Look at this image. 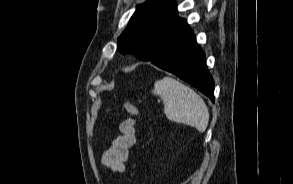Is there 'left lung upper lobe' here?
<instances>
[{"label":"left lung upper lobe","instance_id":"1","mask_svg":"<svg viewBox=\"0 0 293 184\" xmlns=\"http://www.w3.org/2000/svg\"><path fill=\"white\" fill-rule=\"evenodd\" d=\"M177 13L171 0H147L137 6L129 24L118 37V47L122 54L133 53L137 58L147 61L152 53L147 50L152 38L164 33V26Z\"/></svg>","mask_w":293,"mask_h":184}]
</instances>
